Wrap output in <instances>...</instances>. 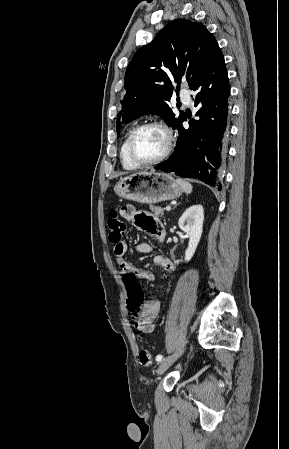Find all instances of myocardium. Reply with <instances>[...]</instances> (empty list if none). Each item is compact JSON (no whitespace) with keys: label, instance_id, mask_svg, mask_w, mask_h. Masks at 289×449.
Here are the masks:
<instances>
[{"label":"myocardium","instance_id":"myocardium-1","mask_svg":"<svg viewBox=\"0 0 289 449\" xmlns=\"http://www.w3.org/2000/svg\"><path fill=\"white\" fill-rule=\"evenodd\" d=\"M149 127L159 128L164 133L165 139H166L165 148L159 157H157L151 161H140L135 156V153H134L135 138L141 130H143L145 128H149ZM174 140H175L174 132H173L172 128L166 122H164L163 120H160V119L147 120V121L139 124L132 130L130 137H129V142H128L129 156H130L131 160L138 166L145 167V166L155 165L157 163H160L161 161H163L165 158H167L169 156V154L171 153V151L173 149Z\"/></svg>","mask_w":289,"mask_h":449}]
</instances>
